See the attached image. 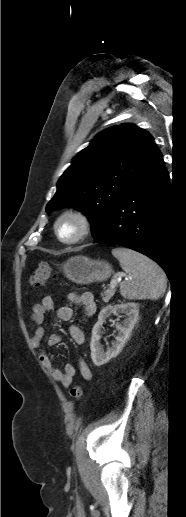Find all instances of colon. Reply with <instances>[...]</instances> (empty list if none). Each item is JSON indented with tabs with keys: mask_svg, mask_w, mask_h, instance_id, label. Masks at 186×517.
<instances>
[{
	"mask_svg": "<svg viewBox=\"0 0 186 517\" xmlns=\"http://www.w3.org/2000/svg\"><path fill=\"white\" fill-rule=\"evenodd\" d=\"M53 276L52 268L45 263H42L38 266V268L34 271L30 278V282L33 286H41L48 279ZM83 390L79 384H75L70 389V395L74 400H79L82 397Z\"/></svg>",
	"mask_w": 186,
	"mask_h": 517,
	"instance_id": "colon-1",
	"label": "colon"
}]
</instances>
